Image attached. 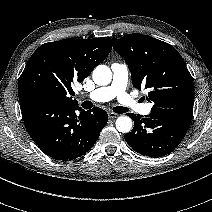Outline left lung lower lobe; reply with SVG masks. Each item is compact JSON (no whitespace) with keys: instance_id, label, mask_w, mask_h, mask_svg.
Returning a JSON list of instances; mask_svg holds the SVG:
<instances>
[{"instance_id":"0a47b994","label":"left lung lower lobe","mask_w":212,"mask_h":212,"mask_svg":"<svg viewBox=\"0 0 212 212\" xmlns=\"http://www.w3.org/2000/svg\"><path fill=\"white\" fill-rule=\"evenodd\" d=\"M193 108H153L142 117L129 113L134 121L132 132L125 135L128 145L148 157L171 153L182 141L190 126Z\"/></svg>"}]
</instances>
